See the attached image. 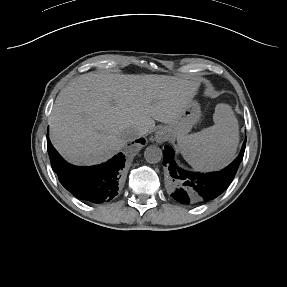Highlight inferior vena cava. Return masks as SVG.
I'll list each match as a JSON object with an SVG mask.
<instances>
[{"instance_id": "602c4592", "label": "inferior vena cava", "mask_w": 287, "mask_h": 287, "mask_svg": "<svg viewBox=\"0 0 287 287\" xmlns=\"http://www.w3.org/2000/svg\"><path fill=\"white\" fill-rule=\"evenodd\" d=\"M144 134H146V132L144 130H140L137 128H127L124 132H123V136L127 141H132L135 140L141 136H143Z\"/></svg>"}]
</instances>
